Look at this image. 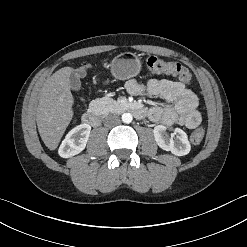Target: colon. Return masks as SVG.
Masks as SVG:
<instances>
[{"instance_id":"1","label":"colon","mask_w":247,"mask_h":247,"mask_svg":"<svg viewBox=\"0 0 247 247\" xmlns=\"http://www.w3.org/2000/svg\"><path fill=\"white\" fill-rule=\"evenodd\" d=\"M147 68L154 74H170L177 76L182 81L188 83L191 80L189 70L178 62L164 61L158 57L151 56L147 59ZM205 129L202 125L197 126L191 133V141L198 144L203 140Z\"/></svg>"}]
</instances>
